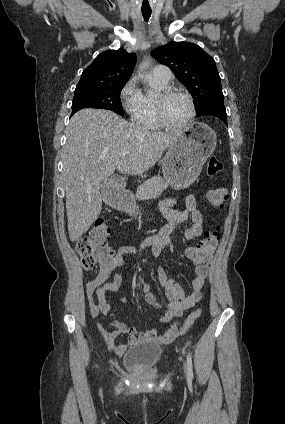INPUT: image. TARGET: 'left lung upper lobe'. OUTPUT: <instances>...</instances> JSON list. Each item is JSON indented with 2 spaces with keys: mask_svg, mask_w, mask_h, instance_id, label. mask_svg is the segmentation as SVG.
Returning <instances> with one entry per match:
<instances>
[{
  "mask_svg": "<svg viewBox=\"0 0 285 424\" xmlns=\"http://www.w3.org/2000/svg\"><path fill=\"white\" fill-rule=\"evenodd\" d=\"M183 83L195 103L196 112L213 101L224 100L215 61L201 47L189 42H170L151 52Z\"/></svg>",
  "mask_w": 285,
  "mask_h": 424,
  "instance_id": "left-lung-upper-lobe-1",
  "label": "left lung upper lobe"
}]
</instances>
